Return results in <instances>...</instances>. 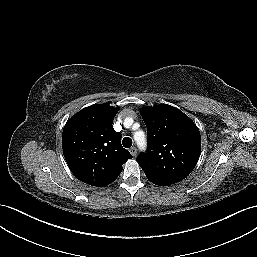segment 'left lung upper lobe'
Returning a JSON list of instances; mask_svg holds the SVG:
<instances>
[{"instance_id":"left-lung-upper-lobe-1","label":"left lung upper lobe","mask_w":257,"mask_h":257,"mask_svg":"<svg viewBox=\"0 0 257 257\" xmlns=\"http://www.w3.org/2000/svg\"><path fill=\"white\" fill-rule=\"evenodd\" d=\"M148 150L136 158L147 178L159 186L186 178L201 152V136L194 122L170 105L144 107Z\"/></svg>"}]
</instances>
